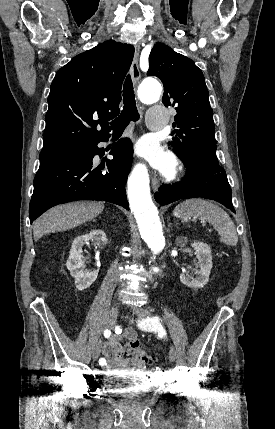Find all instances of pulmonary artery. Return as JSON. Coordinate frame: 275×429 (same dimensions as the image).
Listing matches in <instances>:
<instances>
[{
  "mask_svg": "<svg viewBox=\"0 0 275 429\" xmlns=\"http://www.w3.org/2000/svg\"><path fill=\"white\" fill-rule=\"evenodd\" d=\"M167 122V113L161 107H153L147 112V124L152 130L161 129Z\"/></svg>",
  "mask_w": 275,
  "mask_h": 429,
  "instance_id": "pulmonary-artery-1",
  "label": "pulmonary artery"
}]
</instances>
